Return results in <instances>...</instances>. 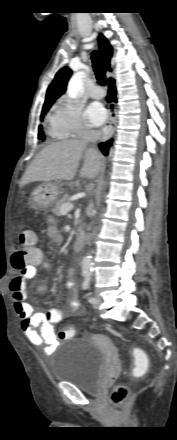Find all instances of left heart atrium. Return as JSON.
<instances>
[{
    "label": "left heart atrium",
    "instance_id": "39dd6f15",
    "mask_svg": "<svg viewBox=\"0 0 177 440\" xmlns=\"http://www.w3.org/2000/svg\"><path fill=\"white\" fill-rule=\"evenodd\" d=\"M85 115L92 125L98 126L106 119V111L99 103H92L86 109Z\"/></svg>",
    "mask_w": 177,
    "mask_h": 440
}]
</instances>
